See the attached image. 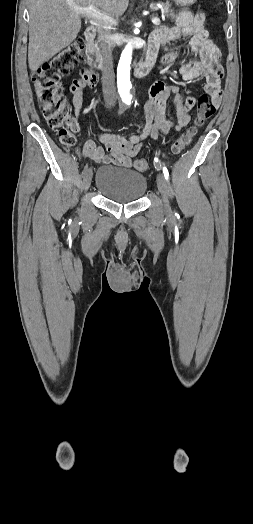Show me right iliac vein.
<instances>
[{
	"label": "right iliac vein",
	"mask_w": 253,
	"mask_h": 524,
	"mask_svg": "<svg viewBox=\"0 0 253 524\" xmlns=\"http://www.w3.org/2000/svg\"><path fill=\"white\" fill-rule=\"evenodd\" d=\"M91 181H92V170L87 169L83 177V183H82L84 191H87L89 189L91 185Z\"/></svg>",
	"instance_id": "63e3f726"
}]
</instances>
